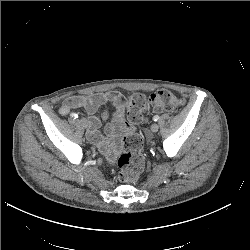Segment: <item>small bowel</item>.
<instances>
[{"label": "small bowel", "mask_w": 250, "mask_h": 250, "mask_svg": "<svg viewBox=\"0 0 250 250\" xmlns=\"http://www.w3.org/2000/svg\"><path fill=\"white\" fill-rule=\"evenodd\" d=\"M111 102L118 111H121L124 106V100L121 93L116 91L101 92L88 95H73L67 97L59 108L61 115H67L70 112L83 108L89 114L88 118V131L87 138L94 145L98 146L99 149L112 161L115 158V152L109 149L105 144L103 134L99 131L101 125V119L98 116L100 108L105 103ZM107 117V113L102 114V119ZM106 132L111 134L114 129L111 124L106 126Z\"/></svg>", "instance_id": "c3829d8e"}]
</instances>
